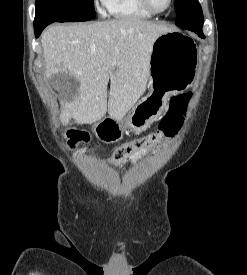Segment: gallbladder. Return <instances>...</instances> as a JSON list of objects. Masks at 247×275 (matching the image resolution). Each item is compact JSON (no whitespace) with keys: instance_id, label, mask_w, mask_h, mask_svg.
<instances>
[{"instance_id":"obj_1","label":"gallbladder","mask_w":247,"mask_h":275,"mask_svg":"<svg viewBox=\"0 0 247 275\" xmlns=\"http://www.w3.org/2000/svg\"><path fill=\"white\" fill-rule=\"evenodd\" d=\"M49 83L52 85L61 95L68 92H77L79 88V82L77 79L69 74L57 73L49 78Z\"/></svg>"}]
</instances>
